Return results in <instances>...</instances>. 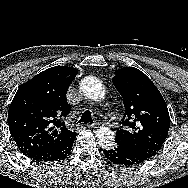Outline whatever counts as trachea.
Here are the masks:
<instances>
[{
	"label": "trachea",
	"instance_id": "obj_1",
	"mask_svg": "<svg viewBox=\"0 0 188 188\" xmlns=\"http://www.w3.org/2000/svg\"><path fill=\"white\" fill-rule=\"evenodd\" d=\"M82 122H90V123H93L92 117H91V112H90V111H85V112L82 114V117H81V119L79 120L78 123H82Z\"/></svg>",
	"mask_w": 188,
	"mask_h": 188
}]
</instances>
